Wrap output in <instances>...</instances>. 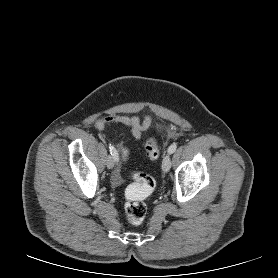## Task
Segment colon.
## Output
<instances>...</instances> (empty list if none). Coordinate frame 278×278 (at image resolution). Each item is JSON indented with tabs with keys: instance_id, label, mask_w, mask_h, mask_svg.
I'll return each mask as SVG.
<instances>
[{
	"instance_id": "1",
	"label": "colon",
	"mask_w": 278,
	"mask_h": 278,
	"mask_svg": "<svg viewBox=\"0 0 278 278\" xmlns=\"http://www.w3.org/2000/svg\"><path fill=\"white\" fill-rule=\"evenodd\" d=\"M145 151L151 160L159 157V144L155 139H149L145 143ZM133 183L126 190L125 214L133 225L141 224L147 213L145 199L153 192L155 180L143 172L131 173Z\"/></svg>"
}]
</instances>
